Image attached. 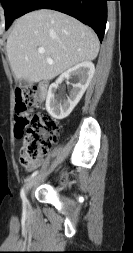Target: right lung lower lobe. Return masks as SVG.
I'll return each mask as SVG.
<instances>
[{"mask_svg": "<svg viewBox=\"0 0 133 253\" xmlns=\"http://www.w3.org/2000/svg\"><path fill=\"white\" fill-rule=\"evenodd\" d=\"M108 0H24L16 18L38 8L53 9L89 25L102 41L107 21Z\"/></svg>", "mask_w": 133, "mask_h": 253, "instance_id": "1", "label": "right lung lower lobe"}]
</instances>
